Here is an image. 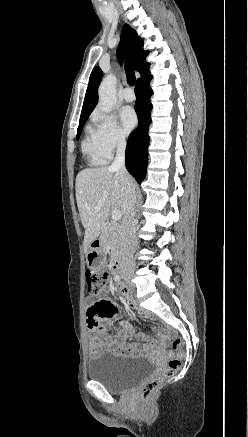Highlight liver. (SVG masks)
<instances>
[{"mask_svg":"<svg viewBox=\"0 0 248 437\" xmlns=\"http://www.w3.org/2000/svg\"><path fill=\"white\" fill-rule=\"evenodd\" d=\"M75 186L79 215L85 228L83 246L87 252L91 243L103 231L110 210L120 209L124 215V186L119 172L111 170L110 167L87 168L80 171ZM101 198H104V202L101 210L97 212L94 207Z\"/></svg>","mask_w":248,"mask_h":437,"instance_id":"1","label":"liver"}]
</instances>
